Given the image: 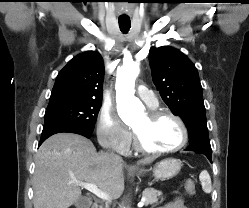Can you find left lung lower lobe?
I'll return each instance as SVG.
<instances>
[{
	"instance_id": "1",
	"label": "left lung lower lobe",
	"mask_w": 249,
	"mask_h": 208,
	"mask_svg": "<svg viewBox=\"0 0 249 208\" xmlns=\"http://www.w3.org/2000/svg\"><path fill=\"white\" fill-rule=\"evenodd\" d=\"M186 151H193L196 153L204 154L212 163V158H211L212 150L210 144L201 141L193 142L190 143L189 147L186 148Z\"/></svg>"
}]
</instances>
